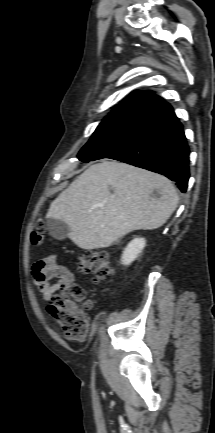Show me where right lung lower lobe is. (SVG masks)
<instances>
[{
    "label": "right lung lower lobe",
    "mask_w": 215,
    "mask_h": 433,
    "mask_svg": "<svg viewBox=\"0 0 215 433\" xmlns=\"http://www.w3.org/2000/svg\"><path fill=\"white\" fill-rule=\"evenodd\" d=\"M106 158L162 174L186 192L189 147L182 124L170 105L150 117L125 147Z\"/></svg>",
    "instance_id": "1"
}]
</instances>
